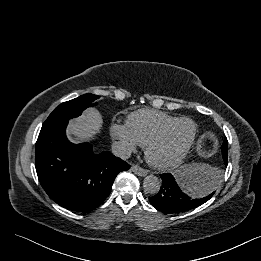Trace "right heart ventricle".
Segmentation results:
<instances>
[{
  "label": "right heart ventricle",
  "mask_w": 261,
  "mask_h": 261,
  "mask_svg": "<svg viewBox=\"0 0 261 261\" xmlns=\"http://www.w3.org/2000/svg\"><path fill=\"white\" fill-rule=\"evenodd\" d=\"M175 119L161 111L141 109L128 115L126 126L137 143L145 146L162 127Z\"/></svg>",
  "instance_id": "right-heart-ventricle-1"
}]
</instances>
